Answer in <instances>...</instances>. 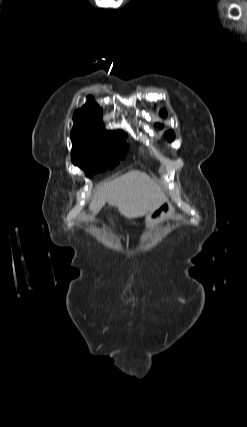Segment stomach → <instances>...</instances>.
I'll use <instances>...</instances> for the list:
<instances>
[{"label":"stomach","mask_w":247,"mask_h":427,"mask_svg":"<svg viewBox=\"0 0 247 427\" xmlns=\"http://www.w3.org/2000/svg\"><path fill=\"white\" fill-rule=\"evenodd\" d=\"M175 213L176 211L172 203L166 200L157 209L147 215L146 224L150 227H153L171 219Z\"/></svg>","instance_id":"0dacf381"}]
</instances>
